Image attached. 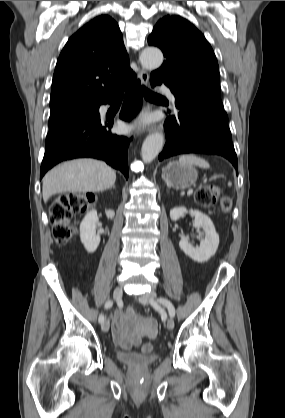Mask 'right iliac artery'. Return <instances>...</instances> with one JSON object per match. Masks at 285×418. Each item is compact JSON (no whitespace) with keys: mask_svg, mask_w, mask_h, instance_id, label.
Listing matches in <instances>:
<instances>
[{"mask_svg":"<svg viewBox=\"0 0 285 418\" xmlns=\"http://www.w3.org/2000/svg\"><path fill=\"white\" fill-rule=\"evenodd\" d=\"M113 305V302L111 301V300H108V301H106V303H105V305H104V308L105 309H108V308H110L111 306ZM99 323H103L104 322V315L103 314H100V316H99Z\"/></svg>","mask_w":285,"mask_h":418,"instance_id":"obj_1","label":"right iliac artery"}]
</instances>
